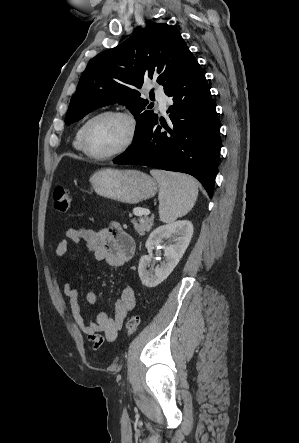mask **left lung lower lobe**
<instances>
[{"instance_id":"1","label":"left lung lower lobe","mask_w":299,"mask_h":443,"mask_svg":"<svg viewBox=\"0 0 299 443\" xmlns=\"http://www.w3.org/2000/svg\"><path fill=\"white\" fill-rule=\"evenodd\" d=\"M165 94L173 101L167 110L169 125L157 118L113 162L190 174L201 182L211 198L219 162L220 128L198 62ZM162 128L166 131H161Z\"/></svg>"}]
</instances>
